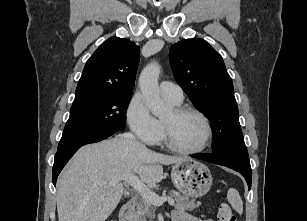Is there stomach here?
I'll list each match as a JSON object with an SVG mask.
<instances>
[{"label": "stomach", "mask_w": 307, "mask_h": 221, "mask_svg": "<svg viewBox=\"0 0 307 221\" xmlns=\"http://www.w3.org/2000/svg\"><path fill=\"white\" fill-rule=\"evenodd\" d=\"M171 179L180 192L192 198L205 195L210 190L213 181L209 168L192 159L173 165Z\"/></svg>", "instance_id": "0dacf381"}]
</instances>
